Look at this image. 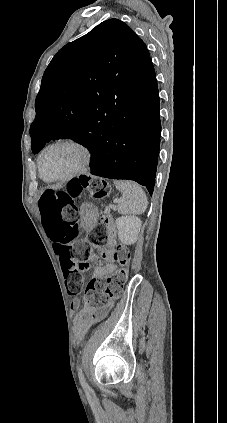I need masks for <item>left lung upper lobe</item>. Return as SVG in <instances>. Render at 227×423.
I'll use <instances>...</instances> for the list:
<instances>
[{"instance_id": "1", "label": "left lung upper lobe", "mask_w": 227, "mask_h": 423, "mask_svg": "<svg viewBox=\"0 0 227 423\" xmlns=\"http://www.w3.org/2000/svg\"><path fill=\"white\" fill-rule=\"evenodd\" d=\"M155 80L145 43L109 19L66 44L44 72L30 127L32 151L61 138L95 133L107 112H138Z\"/></svg>"}]
</instances>
